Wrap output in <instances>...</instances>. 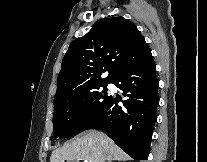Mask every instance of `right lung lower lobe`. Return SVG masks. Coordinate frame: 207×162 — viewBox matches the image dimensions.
<instances>
[{"instance_id": "obj_1", "label": "right lung lower lobe", "mask_w": 207, "mask_h": 162, "mask_svg": "<svg viewBox=\"0 0 207 162\" xmlns=\"http://www.w3.org/2000/svg\"><path fill=\"white\" fill-rule=\"evenodd\" d=\"M112 83L128 97L123 107L111 97L86 129H105L133 159L147 160L159 104V83L152 55L126 68Z\"/></svg>"}]
</instances>
